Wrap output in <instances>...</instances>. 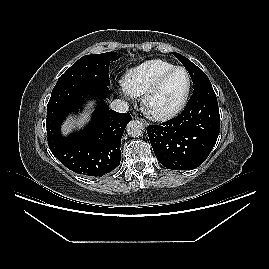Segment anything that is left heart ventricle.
<instances>
[{"mask_svg":"<svg viewBox=\"0 0 269 269\" xmlns=\"http://www.w3.org/2000/svg\"><path fill=\"white\" fill-rule=\"evenodd\" d=\"M187 87V76L184 71H176L164 83L160 91L152 99L150 107L153 111L163 112L177 105Z\"/></svg>","mask_w":269,"mask_h":269,"instance_id":"obj_1","label":"left heart ventricle"}]
</instances>
